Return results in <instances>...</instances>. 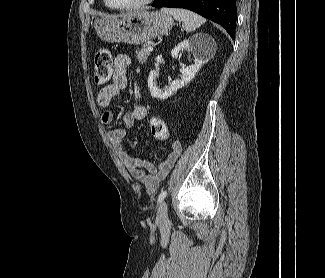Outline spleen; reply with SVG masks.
<instances>
[{
  "label": "spleen",
  "mask_w": 325,
  "mask_h": 278,
  "mask_svg": "<svg viewBox=\"0 0 325 278\" xmlns=\"http://www.w3.org/2000/svg\"><path fill=\"white\" fill-rule=\"evenodd\" d=\"M161 12L182 22V27L187 32L194 31L206 22V20L200 15L186 9L162 8Z\"/></svg>",
  "instance_id": "obj_1"
}]
</instances>
